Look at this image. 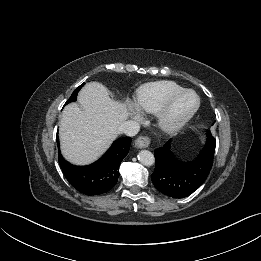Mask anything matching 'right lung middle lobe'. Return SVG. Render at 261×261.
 Instances as JSON below:
<instances>
[{
	"mask_svg": "<svg viewBox=\"0 0 261 261\" xmlns=\"http://www.w3.org/2000/svg\"><path fill=\"white\" fill-rule=\"evenodd\" d=\"M85 83L81 84L79 87L76 88V90L72 93L71 97L68 99V101L66 102V104L70 103V102H74L76 101L77 98V94L79 92V90L83 87ZM65 104V105H66Z\"/></svg>",
	"mask_w": 261,
	"mask_h": 261,
	"instance_id": "right-lung-middle-lobe-1",
	"label": "right lung middle lobe"
}]
</instances>
